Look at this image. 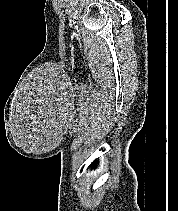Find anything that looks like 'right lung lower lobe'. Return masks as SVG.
Here are the masks:
<instances>
[{"label": "right lung lower lobe", "mask_w": 178, "mask_h": 211, "mask_svg": "<svg viewBox=\"0 0 178 211\" xmlns=\"http://www.w3.org/2000/svg\"><path fill=\"white\" fill-rule=\"evenodd\" d=\"M96 164H97V162H96V161H94V162L91 164V167H93V166H95V167H96Z\"/></svg>", "instance_id": "1"}]
</instances>
